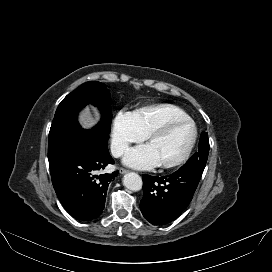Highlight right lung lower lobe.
<instances>
[{"instance_id": "right-lung-lower-lobe-1", "label": "right lung lower lobe", "mask_w": 272, "mask_h": 272, "mask_svg": "<svg viewBox=\"0 0 272 272\" xmlns=\"http://www.w3.org/2000/svg\"><path fill=\"white\" fill-rule=\"evenodd\" d=\"M114 164L103 140L82 131L55 158L49 161L51 179L64 208L77 220L90 221L104 209L108 184L117 176L100 174Z\"/></svg>"}]
</instances>
